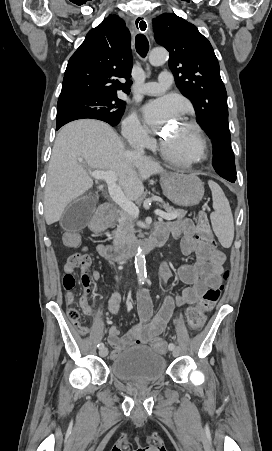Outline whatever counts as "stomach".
Listing matches in <instances>:
<instances>
[{"label":"stomach","mask_w":272,"mask_h":451,"mask_svg":"<svg viewBox=\"0 0 272 451\" xmlns=\"http://www.w3.org/2000/svg\"><path fill=\"white\" fill-rule=\"evenodd\" d=\"M160 184L168 200L177 206H196L204 196V186L196 174L164 176Z\"/></svg>","instance_id":"0dacf381"}]
</instances>
